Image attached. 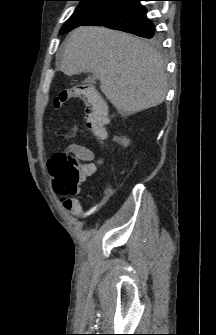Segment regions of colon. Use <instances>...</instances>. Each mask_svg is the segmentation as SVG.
Segmentation results:
<instances>
[{
	"mask_svg": "<svg viewBox=\"0 0 216 335\" xmlns=\"http://www.w3.org/2000/svg\"><path fill=\"white\" fill-rule=\"evenodd\" d=\"M82 99L85 102V121L87 126L93 131L95 136L103 138L106 135L108 123V109L106 104L101 101L94 91L85 84H77L70 88H64L59 91L54 98V106L60 107L70 99ZM104 149L103 145L99 146ZM98 158L103 156L101 151L96 153ZM101 164L100 160L96 161ZM53 179L54 190L65 198L64 206L67 209H74L78 206L68 196H74L78 193L80 185H84V178H92L95 167L91 163L79 165L73 158L72 152L66 148L59 151L49 160L48 163Z\"/></svg>",
	"mask_w": 216,
	"mask_h": 335,
	"instance_id": "5ec220e1",
	"label": "colon"
}]
</instances>
